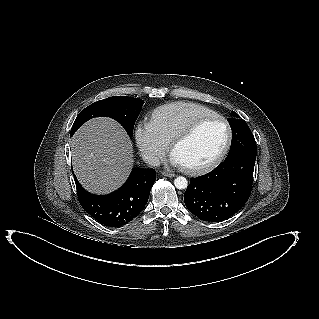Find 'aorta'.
<instances>
[{
  "instance_id": "aorta-1",
  "label": "aorta",
  "mask_w": 319,
  "mask_h": 319,
  "mask_svg": "<svg viewBox=\"0 0 319 319\" xmlns=\"http://www.w3.org/2000/svg\"><path fill=\"white\" fill-rule=\"evenodd\" d=\"M174 185L177 189H185L188 186V181L185 177L179 176L174 180Z\"/></svg>"
}]
</instances>
